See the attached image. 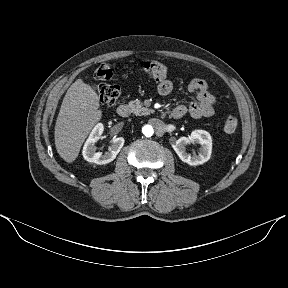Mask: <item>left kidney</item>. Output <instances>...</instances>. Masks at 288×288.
<instances>
[{
  "label": "left kidney",
  "mask_w": 288,
  "mask_h": 288,
  "mask_svg": "<svg viewBox=\"0 0 288 288\" xmlns=\"http://www.w3.org/2000/svg\"><path fill=\"white\" fill-rule=\"evenodd\" d=\"M198 143L201 145L198 155H190L186 151V145ZM179 158L192 166L207 162L212 153V138L207 131L194 130L189 137H181L172 144Z\"/></svg>",
  "instance_id": "obj_1"
}]
</instances>
